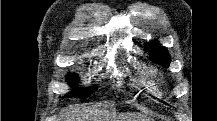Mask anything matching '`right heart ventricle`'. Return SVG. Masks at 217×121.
Masks as SVG:
<instances>
[{"instance_id":"obj_1","label":"right heart ventricle","mask_w":217,"mask_h":121,"mask_svg":"<svg viewBox=\"0 0 217 121\" xmlns=\"http://www.w3.org/2000/svg\"><path fill=\"white\" fill-rule=\"evenodd\" d=\"M155 77H156L155 72L151 71L150 75H149V79L148 80H144L143 82L149 87V89L152 91V93L154 95L159 96L160 92L158 90V87L156 86V82L154 80Z\"/></svg>"}]
</instances>
